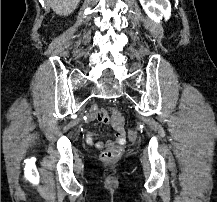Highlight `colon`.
Masks as SVG:
<instances>
[{"mask_svg": "<svg viewBox=\"0 0 217 202\" xmlns=\"http://www.w3.org/2000/svg\"><path fill=\"white\" fill-rule=\"evenodd\" d=\"M105 107H100L97 116V122L102 123L103 126H108L109 122L111 121L107 118V112L105 111ZM129 140H136V131L130 130L128 132ZM122 155V149L118 146L107 148L103 151L102 157L107 161H113L119 158Z\"/></svg>", "mask_w": 217, "mask_h": 202, "instance_id": "1", "label": "colon"}]
</instances>
